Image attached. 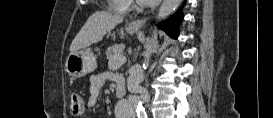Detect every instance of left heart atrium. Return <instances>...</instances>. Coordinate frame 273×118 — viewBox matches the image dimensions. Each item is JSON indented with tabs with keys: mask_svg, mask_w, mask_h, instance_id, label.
Segmentation results:
<instances>
[{
	"mask_svg": "<svg viewBox=\"0 0 273 118\" xmlns=\"http://www.w3.org/2000/svg\"><path fill=\"white\" fill-rule=\"evenodd\" d=\"M140 2L144 5H153L159 2V0H140Z\"/></svg>",
	"mask_w": 273,
	"mask_h": 118,
	"instance_id": "1",
	"label": "left heart atrium"
}]
</instances>
